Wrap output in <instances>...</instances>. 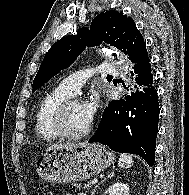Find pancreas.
<instances>
[{"mask_svg":"<svg viewBox=\"0 0 189 195\" xmlns=\"http://www.w3.org/2000/svg\"><path fill=\"white\" fill-rule=\"evenodd\" d=\"M74 186L76 188H80L81 187V184H74ZM84 187L87 188V189H89L91 187V183L84 184Z\"/></svg>","mask_w":189,"mask_h":195,"instance_id":"1","label":"pancreas"}]
</instances>
